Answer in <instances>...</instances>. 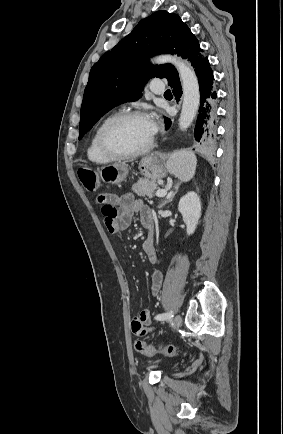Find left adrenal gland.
Masks as SVG:
<instances>
[{
    "label": "left adrenal gland",
    "instance_id": "1",
    "mask_svg": "<svg viewBox=\"0 0 283 434\" xmlns=\"http://www.w3.org/2000/svg\"><path fill=\"white\" fill-rule=\"evenodd\" d=\"M174 192L171 194V196L166 200V201H164L163 203H161L160 205H159V208H162L164 205H166L167 203H170V202H172V200H173V198L175 197V195H176V193L178 192V189H179V183H177L175 186H174Z\"/></svg>",
    "mask_w": 283,
    "mask_h": 434
}]
</instances>
